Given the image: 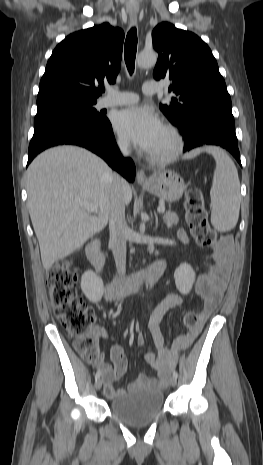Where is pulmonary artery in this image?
Wrapping results in <instances>:
<instances>
[{"mask_svg":"<svg viewBox=\"0 0 263 465\" xmlns=\"http://www.w3.org/2000/svg\"><path fill=\"white\" fill-rule=\"evenodd\" d=\"M145 95H153L159 91V86L154 81H146L142 86ZM139 97L133 92H121L109 89V94L100 101L101 107H114L131 105L138 102Z\"/></svg>","mask_w":263,"mask_h":465,"instance_id":"obj_1","label":"pulmonary artery"}]
</instances>
